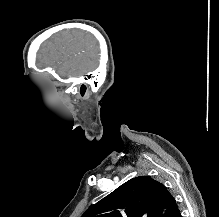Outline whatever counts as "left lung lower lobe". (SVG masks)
I'll return each mask as SVG.
<instances>
[{"label":"left lung lower lobe","instance_id":"0a47b994","mask_svg":"<svg viewBox=\"0 0 219 217\" xmlns=\"http://www.w3.org/2000/svg\"><path fill=\"white\" fill-rule=\"evenodd\" d=\"M177 217H182V216H181V213H179V214L177 215Z\"/></svg>","mask_w":219,"mask_h":217}]
</instances>
